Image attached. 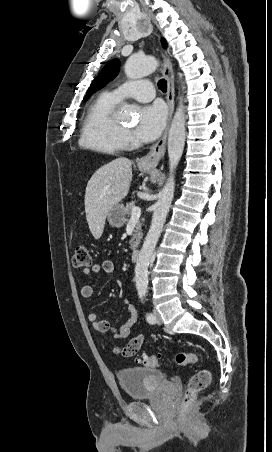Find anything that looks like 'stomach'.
I'll list each match as a JSON object with an SVG mask.
<instances>
[{"label":"stomach","instance_id":"obj_1","mask_svg":"<svg viewBox=\"0 0 272 452\" xmlns=\"http://www.w3.org/2000/svg\"><path fill=\"white\" fill-rule=\"evenodd\" d=\"M139 169L144 172H149L151 169L146 166H139ZM108 222L113 227H121L126 222L125 208L121 204L114 205L107 214Z\"/></svg>","mask_w":272,"mask_h":452}]
</instances>
